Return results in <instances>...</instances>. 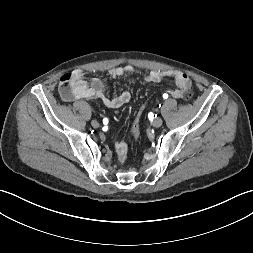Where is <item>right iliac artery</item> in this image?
<instances>
[{
	"label": "right iliac artery",
	"instance_id": "right-iliac-artery-1",
	"mask_svg": "<svg viewBox=\"0 0 253 253\" xmlns=\"http://www.w3.org/2000/svg\"><path fill=\"white\" fill-rule=\"evenodd\" d=\"M106 119L103 120V123H105Z\"/></svg>",
	"mask_w": 253,
	"mask_h": 253
}]
</instances>
